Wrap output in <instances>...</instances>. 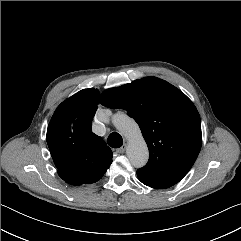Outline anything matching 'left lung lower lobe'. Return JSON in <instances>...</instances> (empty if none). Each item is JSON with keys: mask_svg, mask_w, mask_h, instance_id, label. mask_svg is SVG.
Returning <instances> with one entry per match:
<instances>
[{"mask_svg": "<svg viewBox=\"0 0 241 241\" xmlns=\"http://www.w3.org/2000/svg\"><path fill=\"white\" fill-rule=\"evenodd\" d=\"M137 176L143 184L152 188L164 189L171 187L177 183L161 176L146 172L142 169L137 170Z\"/></svg>", "mask_w": 241, "mask_h": 241, "instance_id": "left-lung-lower-lobe-1", "label": "left lung lower lobe"}]
</instances>
